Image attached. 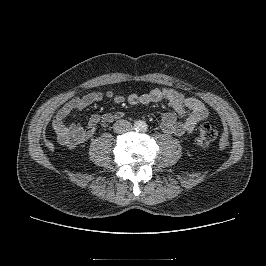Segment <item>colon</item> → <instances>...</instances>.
Instances as JSON below:
<instances>
[{"instance_id": "obj_1", "label": "colon", "mask_w": 266, "mask_h": 266, "mask_svg": "<svg viewBox=\"0 0 266 266\" xmlns=\"http://www.w3.org/2000/svg\"><path fill=\"white\" fill-rule=\"evenodd\" d=\"M216 137V129L210 123H203L197 129L195 144L199 147H207Z\"/></svg>"}]
</instances>
